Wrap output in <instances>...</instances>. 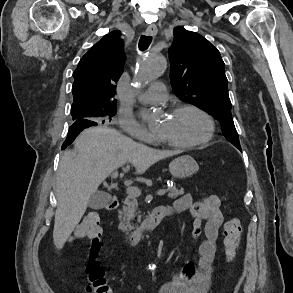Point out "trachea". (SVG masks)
Here are the masks:
<instances>
[{
  "label": "trachea",
  "mask_w": 293,
  "mask_h": 293,
  "mask_svg": "<svg viewBox=\"0 0 293 293\" xmlns=\"http://www.w3.org/2000/svg\"><path fill=\"white\" fill-rule=\"evenodd\" d=\"M151 41H152L151 36H146V35L141 36V38L139 40V49L140 50L147 49L149 47Z\"/></svg>",
  "instance_id": "3493384b"
}]
</instances>
